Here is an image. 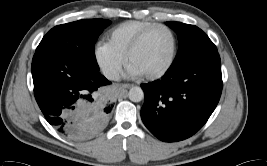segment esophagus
Masks as SVG:
<instances>
[{"label":"esophagus","instance_id":"esophagus-1","mask_svg":"<svg viewBox=\"0 0 267 166\" xmlns=\"http://www.w3.org/2000/svg\"><path fill=\"white\" fill-rule=\"evenodd\" d=\"M123 86H124L125 88H129V87H131L130 84H124Z\"/></svg>","mask_w":267,"mask_h":166}]
</instances>
